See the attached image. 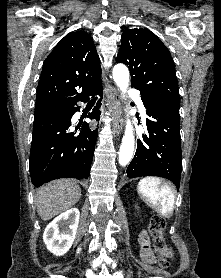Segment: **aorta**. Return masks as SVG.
I'll use <instances>...</instances> for the list:
<instances>
[{"label":"aorta","mask_w":221,"mask_h":278,"mask_svg":"<svg viewBox=\"0 0 221 278\" xmlns=\"http://www.w3.org/2000/svg\"><path fill=\"white\" fill-rule=\"evenodd\" d=\"M113 79L121 92L124 94L129 86V71L128 68L124 64H117L113 68ZM134 135H133V126L131 121L128 119L126 121V127L124 136L122 138V143L120 146V152H119V164L121 166H126L134 152Z\"/></svg>","instance_id":"aorta-1"}]
</instances>
